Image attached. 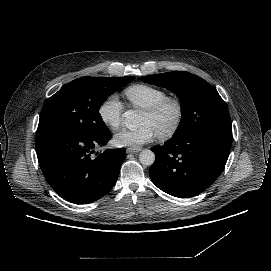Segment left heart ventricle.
<instances>
[{
	"instance_id": "1",
	"label": "left heart ventricle",
	"mask_w": 271,
	"mask_h": 271,
	"mask_svg": "<svg viewBox=\"0 0 271 271\" xmlns=\"http://www.w3.org/2000/svg\"><path fill=\"white\" fill-rule=\"evenodd\" d=\"M174 117L175 110L173 107L166 108L156 116H150L143 112L140 118V125L150 126L155 134H157L159 131L168 128L173 122Z\"/></svg>"
}]
</instances>
